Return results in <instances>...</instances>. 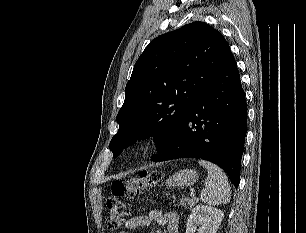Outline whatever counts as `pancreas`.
<instances>
[{
  "label": "pancreas",
  "mask_w": 306,
  "mask_h": 233,
  "mask_svg": "<svg viewBox=\"0 0 306 233\" xmlns=\"http://www.w3.org/2000/svg\"><path fill=\"white\" fill-rule=\"evenodd\" d=\"M180 205L184 206L185 208H189L192 209L193 206H195V204L199 201L198 198H181L180 200Z\"/></svg>",
  "instance_id": "obj_1"
}]
</instances>
